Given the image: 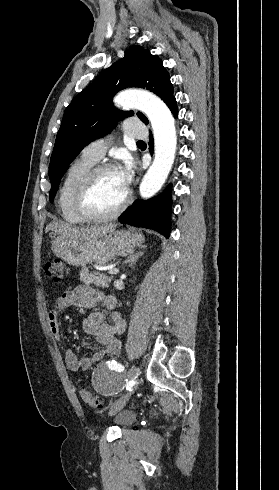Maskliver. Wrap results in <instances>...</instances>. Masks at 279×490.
<instances>
[{
	"mask_svg": "<svg viewBox=\"0 0 279 490\" xmlns=\"http://www.w3.org/2000/svg\"><path fill=\"white\" fill-rule=\"evenodd\" d=\"M115 226L112 224H105V226H91V228H75L70 224H64V222H50L46 226L45 232H55L60 234L61 238H68V240H82V242H89L92 238H100L104 236L106 232L112 230Z\"/></svg>",
	"mask_w": 279,
	"mask_h": 490,
	"instance_id": "liver-1",
	"label": "liver"
}]
</instances>
